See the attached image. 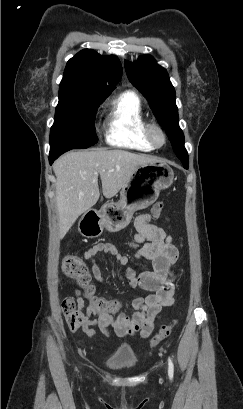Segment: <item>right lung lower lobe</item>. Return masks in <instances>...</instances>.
<instances>
[{
	"mask_svg": "<svg viewBox=\"0 0 243 409\" xmlns=\"http://www.w3.org/2000/svg\"><path fill=\"white\" fill-rule=\"evenodd\" d=\"M64 152H66V151L65 150L50 151V153H49V162H50V164H52L53 161L55 159H57Z\"/></svg>",
	"mask_w": 243,
	"mask_h": 409,
	"instance_id": "1",
	"label": "right lung lower lobe"
}]
</instances>
